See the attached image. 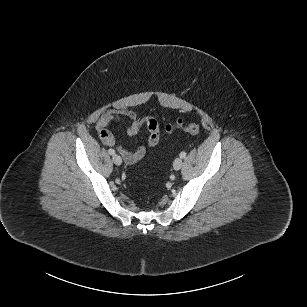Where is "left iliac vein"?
<instances>
[{
  "instance_id": "left-iliac-vein-1",
  "label": "left iliac vein",
  "mask_w": 307,
  "mask_h": 307,
  "mask_svg": "<svg viewBox=\"0 0 307 307\" xmlns=\"http://www.w3.org/2000/svg\"><path fill=\"white\" fill-rule=\"evenodd\" d=\"M181 166H182V159L181 158H176L174 160V163H173V168L175 170H179L181 168Z\"/></svg>"
}]
</instances>
